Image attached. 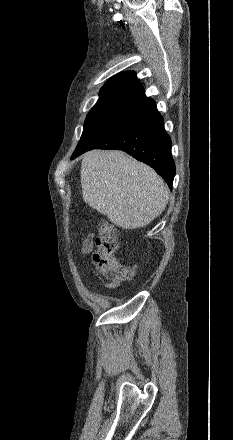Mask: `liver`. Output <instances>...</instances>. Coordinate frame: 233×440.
I'll use <instances>...</instances> for the list:
<instances>
[{"label":"liver","instance_id":"1","mask_svg":"<svg viewBox=\"0 0 233 440\" xmlns=\"http://www.w3.org/2000/svg\"><path fill=\"white\" fill-rule=\"evenodd\" d=\"M83 200L122 229L143 227L165 209L169 189L149 166L121 151H90L81 163Z\"/></svg>","mask_w":233,"mask_h":440}]
</instances>
